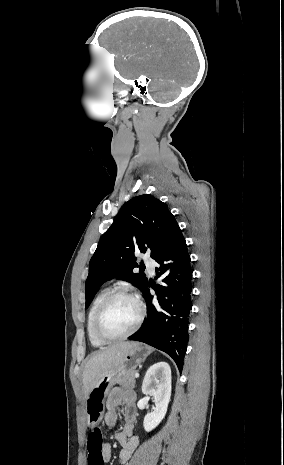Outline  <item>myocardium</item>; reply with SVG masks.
<instances>
[{
    "instance_id": "myocardium-1",
    "label": "myocardium",
    "mask_w": 284,
    "mask_h": 465,
    "mask_svg": "<svg viewBox=\"0 0 284 465\" xmlns=\"http://www.w3.org/2000/svg\"><path fill=\"white\" fill-rule=\"evenodd\" d=\"M119 299H129V300H132L135 303V305H136V307L138 309V320H137L136 324L134 325V327L126 335L118 337V338H108V337L103 336L100 333L99 325H100V322H101L104 314L106 313L107 309L111 306V304L113 302H115L116 300H119ZM145 314H146V311H145V307L143 305V302L136 294H134L132 292H129V291H126V290H119V291L112 292L101 303V305L99 306V308H98V310H97V312H96V314L94 316V319H93V334H94L95 338L99 342H101L103 344H115V343L125 341V340L131 338L139 330V328L141 327V325L143 323V320L145 318Z\"/></svg>"
}]
</instances>
